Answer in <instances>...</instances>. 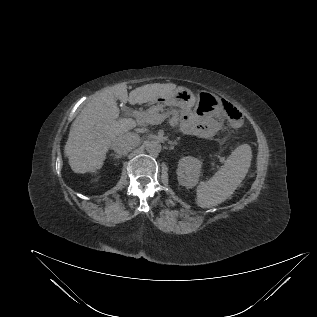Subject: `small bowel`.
Wrapping results in <instances>:
<instances>
[{
	"label": "small bowel",
	"instance_id": "1",
	"mask_svg": "<svg viewBox=\"0 0 317 317\" xmlns=\"http://www.w3.org/2000/svg\"><path fill=\"white\" fill-rule=\"evenodd\" d=\"M184 133L197 137L207 138L216 134L220 129V122L212 116L204 117L201 121L185 117L181 121Z\"/></svg>",
	"mask_w": 317,
	"mask_h": 317
}]
</instances>
